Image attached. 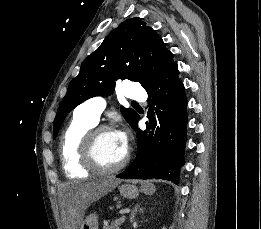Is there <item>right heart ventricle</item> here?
<instances>
[{"instance_id": "1", "label": "right heart ventricle", "mask_w": 261, "mask_h": 229, "mask_svg": "<svg viewBox=\"0 0 261 229\" xmlns=\"http://www.w3.org/2000/svg\"><path fill=\"white\" fill-rule=\"evenodd\" d=\"M97 124L86 118L78 106L65 128L59 142V155L62 167L68 174H88L90 169L82 158V145L85 136Z\"/></svg>"}]
</instances>
